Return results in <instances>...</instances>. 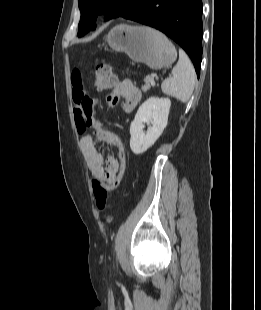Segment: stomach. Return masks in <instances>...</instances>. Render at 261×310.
I'll return each instance as SVG.
<instances>
[{"label": "stomach", "mask_w": 261, "mask_h": 310, "mask_svg": "<svg viewBox=\"0 0 261 310\" xmlns=\"http://www.w3.org/2000/svg\"><path fill=\"white\" fill-rule=\"evenodd\" d=\"M106 40L114 51L155 70L170 66L177 58L174 45L150 27L120 24L110 30Z\"/></svg>", "instance_id": "0dacf381"}]
</instances>
